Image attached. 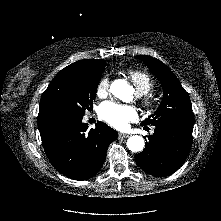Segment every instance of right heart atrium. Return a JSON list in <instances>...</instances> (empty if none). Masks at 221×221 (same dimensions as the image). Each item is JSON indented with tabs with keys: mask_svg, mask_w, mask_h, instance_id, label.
<instances>
[{
	"mask_svg": "<svg viewBox=\"0 0 221 221\" xmlns=\"http://www.w3.org/2000/svg\"><path fill=\"white\" fill-rule=\"evenodd\" d=\"M111 86V81L108 75H104L98 82L97 93L99 95H104L108 93Z\"/></svg>",
	"mask_w": 221,
	"mask_h": 221,
	"instance_id": "obj_1",
	"label": "right heart atrium"
}]
</instances>
